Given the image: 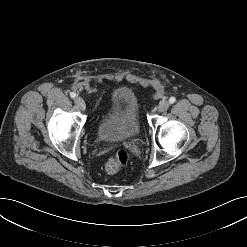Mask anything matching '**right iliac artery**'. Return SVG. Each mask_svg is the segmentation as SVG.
<instances>
[{"label":"right iliac artery","mask_w":247,"mask_h":247,"mask_svg":"<svg viewBox=\"0 0 247 247\" xmlns=\"http://www.w3.org/2000/svg\"><path fill=\"white\" fill-rule=\"evenodd\" d=\"M70 96H71V98H75V97H76V93L71 92V93H70Z\"/></svg>","instance_id":"1"}]
</instances>
